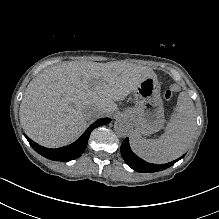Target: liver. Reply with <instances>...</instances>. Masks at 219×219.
I'll return each instance as SVG.
<instances>
[{"mask_svg": "<svg viewBox=\"0 0 219 219\" xmlns=\"http://www.w3.org/2000/svg\"><path fill=\"white\" fill-rule=\"evenodd\" d=\"M150 71L119 62H66L39 73L28 84L19 107L25 134L42 147L74 143L88 121L118 109Z\"/></svg>", "mask_w": 219, "mask_h": 219, "instance_id": "liver-1", "label": "liver"}]
</instances>
